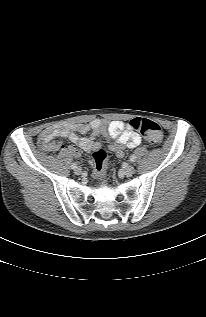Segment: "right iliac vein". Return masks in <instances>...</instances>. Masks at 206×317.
Listing matches in <instances>:
<instances>
[{"label": "right iliac vein", "instance_id": "1", "mask_svg": "<svg viewBox=\"0 0 206 317\" xmlns=\"http://www.w3.org/2000/svg\"><path fill=\"white\" fill-rule=\"evenodd\" d=\"M75 174L76 175H80L82 173V169L80 167H77L75 170H74Z\"/></svg>", "mask_w": 206, "mask_h": 317}]
</instances>
